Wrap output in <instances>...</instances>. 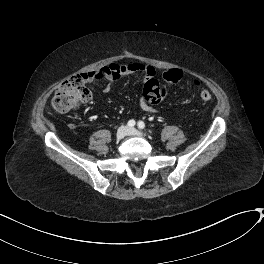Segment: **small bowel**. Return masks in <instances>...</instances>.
Wrapping results in <instances>:
<instances>
[{
	"label": "small bowel",
	"instance_id": "small-bowel-1",
	"mask_svg": "<svg viewBox=\"0 0 264 264\" xmlns=\"http://www.w3.org/2000/svg\"><path fill=\"white\" fill-rule=\"evenodd\" d=\"M135 73H140L142 75L143 83H145L149 79H154L156 76L154 68L148 64L112 63L100 68L99 70L83 73L81 74V78L88 83L94 81H106L108 84L107 91H109L110 86L116 81H118L122 76L131 75ZM139 106L142 110L149 113H157L158 111L154 107V102L149 100L143 93L139 97Z\"/></svg>",
	"mask_w": 264,
	"mask_h": 264
}]
</instances>
